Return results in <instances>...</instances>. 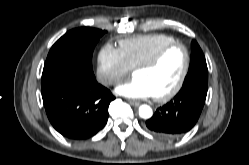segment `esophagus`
<instances>
[{
    "label": "esophagus",
    "mask_w": 249,
    "mask_h": 165,
    "mask_svg": "<svg viewBox=\"0 0 249 165\" xmlns=\"http://www.w3.org/2000/svg\"><path fill=\"white\" fill-rule=\"evenodd\" d=\"M128 102H129L132 106H135V107H137V106L140 105V102L135 101V100H128Z\"/></svg>",
    "instance_id": "esophagus-1"
}]
</instances>
